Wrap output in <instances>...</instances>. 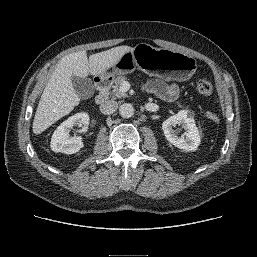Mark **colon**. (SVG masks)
I'll use <instances>...</instances> for the list:
<instances>
[{"label":"colon","instance_id":"1","mask_svg":"<svg viewBox=\"0 0 257 257\" xmlns=\"http://www.w3.org/2000/svg\"><path fill=\"white\" fill-rule=\"evenodd\" d=\"M197 91L201 96H209L213 91V86L208 80H200L197 84ZM207 118L212 122H217L219 116L215 112H207Z\"/></svg>","mask_w":257,"mask_h":257}]
</instances>
